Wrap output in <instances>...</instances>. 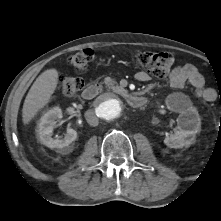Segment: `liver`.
<instances>
[{
  "mask_svg": "<svg viewBox=\"0 0 221 221\" xmlns=\"http://www.w3.org/2000/svg\"><path fill=\"white\" fill-rule=\"evenodd\" d=\"M58 84V71L54 68L45 70L34 81L23 104L22 120L28 124L51 99Z\"/></svg>",
  "mask_w": 221,
  "mask_h": 221,
  "instance_id": "1",
  "label": "liver"
}]
</instances>
